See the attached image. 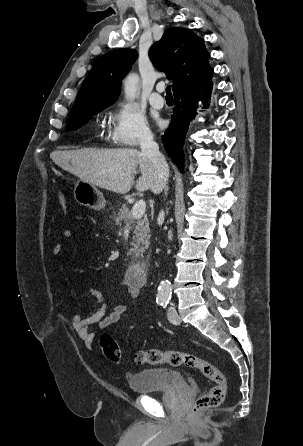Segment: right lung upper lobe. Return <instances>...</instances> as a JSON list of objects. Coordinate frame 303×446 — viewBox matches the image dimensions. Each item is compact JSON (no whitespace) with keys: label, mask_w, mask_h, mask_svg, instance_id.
<instances>
[{"label":"right lung upper lobe","mask_w":303,"mask_h":446,"mask_svg":"<svg viewBox=\"0 0 303 446\" xmlns=\"http://www.w3.org/2000/svg\"><path fill=\"white\" fill-rule=\"evenodd\" d=\"M209 56L201 38L177 27L167 29L149 51L154 66L173 80V92L211 76ZM136 58L137 52L128 48L103 55L81 86L72 114L112 104L120 93L121 79Z\"/></svg>","instance_id":"1"}]
</instances>
